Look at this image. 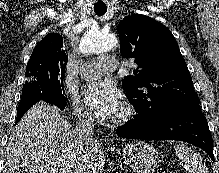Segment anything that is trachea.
<instances>
[{"label":"trachea","instance_id":"3493384b","mask_svg":"<svg viewBox=\"0 0 219 173\" xmlns=\"http://www.w3.org/2000/svg\"><path fill=\"white\" fill-rule=\"evenodd\" d=\"M106 11H107L106 6H98V5L94 6V12L97 16L104 15L106 13Z\"/></svg>","mask_w":219,"mask_h":173}]
</instances>
